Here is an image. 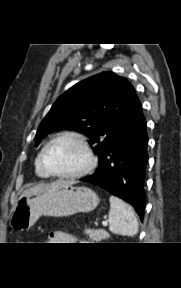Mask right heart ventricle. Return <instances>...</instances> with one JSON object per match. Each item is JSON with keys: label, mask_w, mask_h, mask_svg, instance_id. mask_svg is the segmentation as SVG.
Here are the masks:
<instances>
[{"label": "right heart ventricle", "mask_w": 181, "mask_h": 288, "mask_svg": "<svg viewBox=\"0 0 181 288\" xmlns=\"http://www.w3.org/2000/svg\"><path fill=\"white\" fill-rule=\"evenodd\" d=\"M34 171H35V174L40 178L46 179L50 177L47 174V172L43 169V167L41 166L39 155H37L34 161Z\"/></svg>", "instance_id": "right-heart-ventricle-1"}]
</instances>
